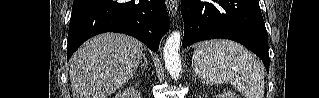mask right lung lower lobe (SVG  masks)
<instances>
[{
  "label": "right lung lower lobe",
  "instance_id": "98d812e1",
  "mask_svg": "<svg viewBox=\"0 0 319 98\" xmlns=\"http://www.w3.org/2000/svg\"><path fill=\"white\" fill-rule=\"evenodd\" d=\"M168 30L164 0H74L68 33V60L84 41L104 32L131 35L156 52Z\"/></svg>",
  "mask_w": 319,
  "mask_h": 98
}]
</instances>
